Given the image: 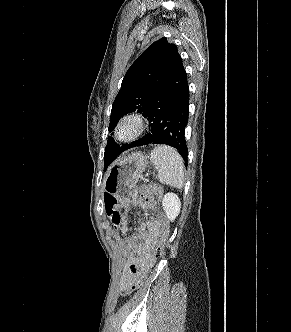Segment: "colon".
Returning a JSON list of instances; mask_svg holds the SVG:
<instances>
[{
  "instance_id": "colon-1",
  "label": "colon",
  "mask_w": 291,
  "mask_h": 332,
  "mask_svg": "<svg viewBox=\"0 0 291 332\" xmlns=\"http://www.w3.org/2000/svg\"><path fill=\"white\" fill-rule=\"evenodd\" d=\"M162 194V189L154 184H146L141 187L139 199L141 206L146 210H151L154 208V197H160ZM105 210L107 216L112 221L113 225L120 230L124 223V217L119 210L118 201L111 194L105 195ZM161 231L159 235V240L154 246L150 257L147 261L138 268L133 269V277L131 282L125 289L127 294L133 292L138 289L146 277L148 276L150 270L153 268L155 263L160 260L164 256V249L167 244L168 236H169V227L168 222L165 220L163 216H161Z\"/></svg>"
}]
</instances>
